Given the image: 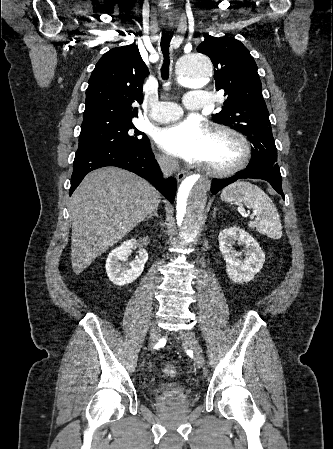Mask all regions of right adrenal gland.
Masks as SVG:
<instances>
[{
	"mask_svg": "<svg viewBox=\"0 0 333 449\" xmlns=\"http://www.w3.org/2000/svg\"><path fill=\"white\" fill-rule=\"evenodd\" d=\"M157 210H158V209H156V210L153 212V214H151V215L148 216L147 218L150 219V218H152L153 216H156L157 218H159V215H158V213H157Z\"/></svg>",
	"mask_w": 333,
	"mask_h": 449,
	"instance_id": "1",
	"label": "right adrenal gland"
}]
</instances>
